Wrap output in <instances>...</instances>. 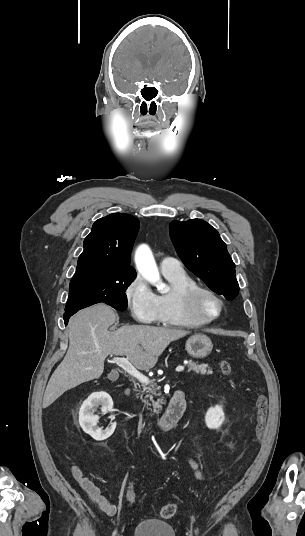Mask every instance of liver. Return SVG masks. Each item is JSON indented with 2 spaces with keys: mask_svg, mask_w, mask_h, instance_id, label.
I'll return each mask as SVG.
<instances>
[{
  "mask_svg": "<svg viewBox=\"0 0 305 536\" xmlns=\"http://www.w3.org/2000/svg\"><path fill=\"white\" fill-rule=\"evenodd\" d=\"M115 320V312L105 304L80 310L71 318L68 352L47 384L43 408L67 390L100 378L107 356H127L138 370H150L170 342L190 334L180 328L155 326H122L108 332Z\"/></svg>",
  "mask_w": 305,
  "mask_h": 536,
  "instance_id": "liver-1",
  "label": "liver"
}]
</instances>
